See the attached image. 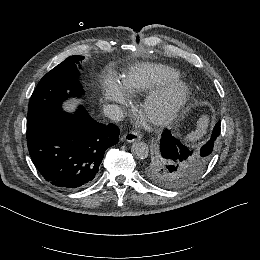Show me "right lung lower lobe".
Masks as SVG:
<instances>
[{
	"label": "right lung lower lobe",
	"mask_w": 260,
	"mask_h": 260,
	"mask_svg": "<svg viewBox=\"0 0 260 260\" xmlns=\"http://www.w3.org/2000/svg\"><path fill=\"white\" fill-rule=\"evenodd\" d=\"M119 129L101 124L80 106L74 114L62 112L27 131L29 154L51 185L78 190L90 185L107 148L118 142Z\"/></svg>",
	"instance_id": "98d812e1"
}]
</instances>
